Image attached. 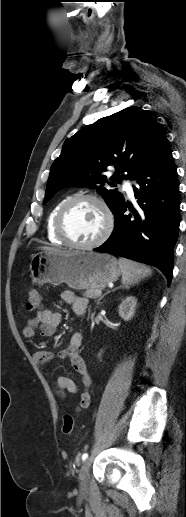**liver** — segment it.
I'll list each match as a JSON object with an SVG mask.
<instances>
[{
    "label": "liver",
    "instance_id": "liver-1",
    "mask_svg": "<svg viewBox=\"0 0 186 517\" xmlns=\"http://www.w3.org/2000/svg\"><path fill=\"white\" fill-rule=\"evenodd\" d=\"M40 249L44 250L45 252L57 253V254H68L69 253L68 251H63L58 248L47 247V246H43Z\"/></svg>",
    "mask_w": 186,
    "mask_h": 517
}]
</instances>
